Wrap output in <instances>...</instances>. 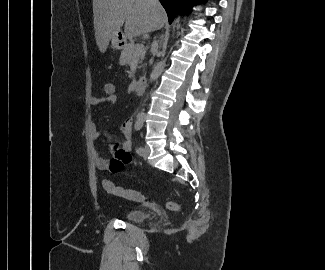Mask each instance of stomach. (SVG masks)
I'll return each mask as SVG.
<instances>
[{"instance_id": "obj_1", "label": "stomach", "mask_w": 325, "mask_h": 270, "mask_svg": "<svg viewBox=\"0 0 325 270\" xmlns=\"http://www.w3.org/2000/svg\"><path fill=\"white\" fill-rule=\"evenodd\" d=\"M127 37L118 32L112 39V47L114 49H123L126 46Z\"/></svg>"}]
</instances>
